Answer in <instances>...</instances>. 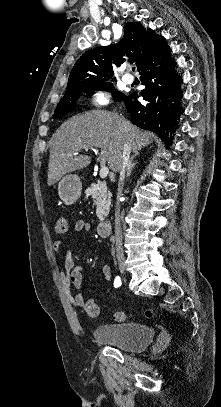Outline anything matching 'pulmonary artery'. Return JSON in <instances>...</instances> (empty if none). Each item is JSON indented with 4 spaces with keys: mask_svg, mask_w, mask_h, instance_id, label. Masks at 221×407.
Listing matches in <instances>:
<instances>
[{
    "mask_svg": "<svg viewBox=\"0 0 221 407\" xmlns=\"http://www.w3.org/2000/svg\"><path fill=\"white\" fill-rule=\"evenodd\" d=\"M122 81H123L124 83H126V84H130V83L133 82V77H132L130 74H125V75L122 77Z\"/></svg>",
    "mask_w": 221,
    "mask_h": 407,
    "instance_id": "obj_1",
    "label": "pulmonary artery"
}]
</instances>
